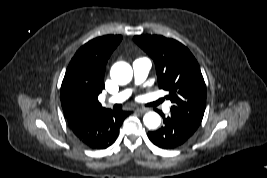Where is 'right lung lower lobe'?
Returning a JSON list of instances; mask_svg holds the SVG:
<instances>
[{
    "label": "right lung lower lobe",
    "instance_id": "right-lung-lower-lobe-1",
    "mask_svg": "<svg viewBox=\"0 0 267 178\" xmlns=\"http://www.w3.org/2000/svg\"><path fill=\"white\" fill-rule=\"evenodd\" d=\"M129 112L104 109L75 117L68 125L77 139L91 149H105L112 145L119 128Z\"/></svg>",
    "mask_w": 267,
    "mask_h": 178
}]
</instances>
